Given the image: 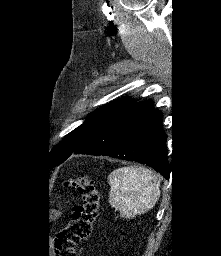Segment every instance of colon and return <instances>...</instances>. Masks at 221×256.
<instances>
[{
  "mask_svg": "<svg viewBox=\"0 0 221 256\" xmlns=\"http://www.w3.org/2000/svg\"><path fill=\"white\" fill-rule=\"evenodd\" d=\"M81 195V204L72 209L68 225L56 236V256H76V246L87 238L98 214L99 195L88 176L75 177L65 183Z\"/></svg>",
  "mask_w": 221,
  "mask_h": 256,
  "instance_id": "colon-1",
  "label": "colon"
}]
</instances>
